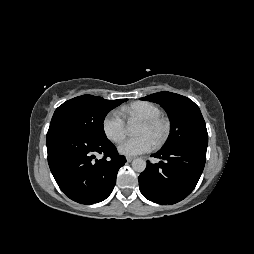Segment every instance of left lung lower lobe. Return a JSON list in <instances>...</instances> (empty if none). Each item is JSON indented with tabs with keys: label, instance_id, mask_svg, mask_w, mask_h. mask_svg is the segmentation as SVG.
Instances as JSON below:
<instances>
[{
	"label": "left lung lower lobe",
	"instance_id": "0a47b994",
	"mask_svg": "<svg viewBox=\"0 0 254 254\" xmlns=\"http://www.w3.org/2000/svg\"><path fill=\"white\" fill-rule=\"evenodd\" d=\"M207 145L188 143L151 155L159 163H147L138 177L141 193L158 204H175L195 188L206 161Z\"/></svg>",
	"mask_w": 254,
	"mask_h": 254
}]
</instances>
